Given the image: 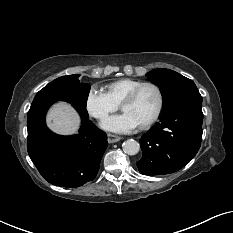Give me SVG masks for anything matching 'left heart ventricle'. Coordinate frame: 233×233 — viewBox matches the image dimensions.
Returning a JSON list of instances; mask_svg holds the SVG:
<instances>
[{
	"mask_svg": "<svg viewBox=\"0 0 233 233\" xmlns=\"http://www.w3.org/2000/svg\"><path fill=\"white\" fill-rule=\"evenodd\" d=\"M157 105V91L151 86H146L139 91L132 102L123 107V111L131 114L139 124H142L154 114Z\"/></svg>",
	"mask_w": 233,
	"mask_h": 233,
	"instance_id": "1",
	"label": "left heart ventricle"
}]
</instances>
